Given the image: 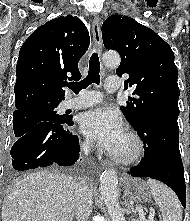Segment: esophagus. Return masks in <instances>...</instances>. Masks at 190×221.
Wrapping results in <instances>:
<instances>
[{
	"label": "esophagus",
	"mask_w": 190,
	"mask_h": 221,
	"mask_svg": "<svg viewBox=\"0 0 190 221\" xmlns=\"http://www.w3.org/2000/svg\"><path fill=\"white\" fill-rule=\"evenodd\" d=\"M92 34H93L95 48L99 53H101V51H102V37H101V27H100V22H99L98 17H95L93 19ZM102 166L106 167V168L112 167V163L109 162L108 160H105L102 162Z\"/></svg>",
	"instance_id": "obj_1"
}]
</instances>
